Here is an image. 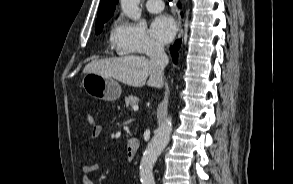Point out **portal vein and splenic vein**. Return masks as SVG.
I'll list each match as a JSON object with an SVG mask.
<instances>
[{"label":"portal vein and splenic vein","mask_w":293,"mask_h":184,"mask_svg":"<svg viewBox=\"0 0 293 184\" xmlns=\"http://www.w3.org/2000/svg\"><path fill=\"white\" fill-rule=\"evenodd\" d=\"M139 107L137 105L133 106L134 111H138Z\"/></svg>","instance_id":"portal-vein-and-splenic-vein-1"}]
</instances>
